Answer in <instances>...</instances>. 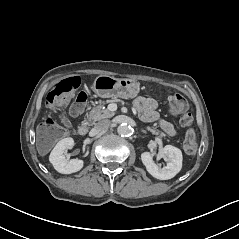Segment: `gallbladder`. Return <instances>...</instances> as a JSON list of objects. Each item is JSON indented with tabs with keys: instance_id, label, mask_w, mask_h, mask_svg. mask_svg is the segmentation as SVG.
I'll use <instances>...</instances> for the list:
<instances>
[{
	"instance_id": "gallbladder-1",
	"label": "gallbladder",
	"mask_w": 239,
	"mask_h": 239,
	"mask_svg": "<svg viewBox=\"0 0 239 239\" xmlns=\"http://www.w3.org/2000/svg\"><path fill=\"white\" fill-rule=\"evenodd\" d=\"M42 147H44L46 149V151L48 150V148L45 145H42L41 147L38 146V153L39 154H41Z\"/></svg>"
}]
</instances>
